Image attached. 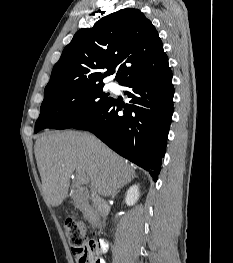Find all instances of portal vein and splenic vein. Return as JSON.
<instances>
[{
	"label": "portal vein and splenic vein",
	"mask_w": 233,
	"mask_h": 263,
	"mask_svg": "<svg viewBox=\"0 0 233 263\" xmlns=\"http://www.w3.org/2000/svg\"><path fill=\"white\" fill-rule=\"evenodd\" d=\"M77 180L79 184L87 185L90 181L89 177L84 172L77 171Z\"/></svg>",
	"instance_id": "obj_1"
}]
</instances>
